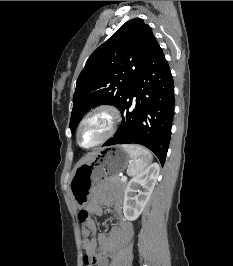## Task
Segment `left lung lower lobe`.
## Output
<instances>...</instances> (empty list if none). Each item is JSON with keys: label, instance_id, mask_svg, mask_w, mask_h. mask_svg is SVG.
I'll return each instance as SVG.
<instances>
[{"label": "left lung lower lobe", "instance_id": "0a47b994", "mask_svg": "<svg viewBox=\"0 0 233 266\" xmlns=\"http://www.w3.org/2000/svg\"><path fill=\"white\" fill-rule=\"evenodd\" d=\"M174 102L172 74L158 45L119 108L122 125L103 146L141 144L153 151L163 166L171 137Z\"/></svg>", "mask_w": 233, "mask_h": 266}]
</instances>
